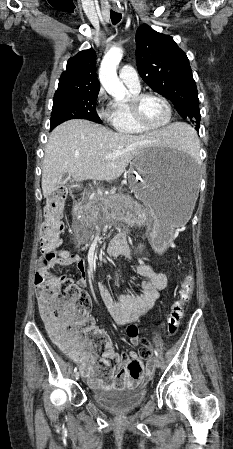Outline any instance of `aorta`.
Wrapping results in <instances>:
<instances>
[{"label": "aorta", "instance_id": "aorta-1", "mask_svg": "<svg viewBox=\"0 0 233 449\" xmlns=\"http://www.w3.org/2000/svg\"><path fill=\"white\" fill-rule=\"evenodd\" d=\"M123 57L120 47H112L104 56L99 69V79L105 90L116 100H122L127 89L117 76V67Z\"/></svg>", "mask_w": 233, "mask_h": 449}]
</instances>
